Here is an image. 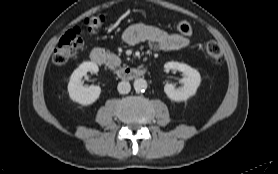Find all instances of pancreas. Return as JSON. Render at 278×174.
Returning <instances> with one entry per match:
<instances>
[{
  "instance_id": "obj_1",
  "label": "pancreas",
  "mask_w": 278,
  "mask_h": 174,
  "mask_svg": "<svg viewBox=\"0 0 278 174\" xmlns=\"http://www.w3.org/2000/svg\"><path fill=\"white\" fill-rule=\"evenodd\" d=\"M110 58H111V60H110L109 64L111 66L119 65L120 62L116 63V61L114 60L115 57L113 55H110Z\"/></svg>"
}]
</instances>
